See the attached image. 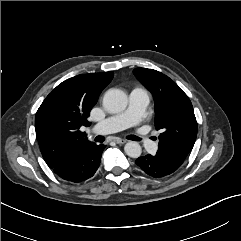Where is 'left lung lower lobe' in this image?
Returning <instances> with one entry per match:
<instances>
[{
  "label": "left lung lower lobe",
  "mask_w": 241,
  "mask_h": 241,
  "mask_svg": "<svg viewBox=\"0 0 241 241\" xmlns=\"http://www.w3.org/2000/svg\"><path fill=\"white\" fill-rule=\"evenodd\" d=\"M136 164L142 171H144V173L154 178L170 175L179 168L175 165L164 162L156 156H152L150 154L139 157L136 160Z\"/></svg>",
  "instance_id": "0a47b994"
}]
</instances>
